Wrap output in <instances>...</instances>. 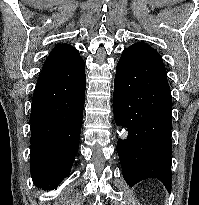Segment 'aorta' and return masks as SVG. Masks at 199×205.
I'll use <instances>...</instances> for the list:
<instances>
[{
	"mask_svg": "<svg viewBox=\"0 0 199 205\" xmlns=\"http://www.w3.org/2000/svg\"><path fill=\"white\" fill-rule=\"evenodd\" d=\"M122 138H125L126 137V131H125V129H122L121 131H120V134H119Z\"/></svg>",
	"mask_w": 199,
	"mask_h": 205,
	"instance_id": "762f6f07",
	"label": "aorta"
}]
</instances>
